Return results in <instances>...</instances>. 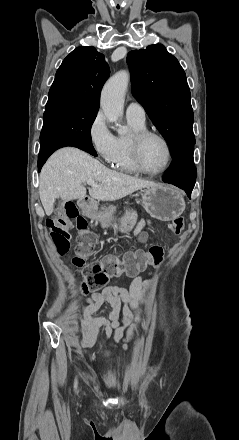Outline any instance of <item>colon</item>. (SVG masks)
I'll use <instances>...</instances> for the list:
<instances>
[{"label": "colon", "instance_id": "obj_1", "mask_svg": "<svg viewBox=\"0 0 239 440\" xmlns=\"http://www.w3.org/2000/svg\"><path fill=\"white\" fill-rule=\"evenodd\" d=\"M74 219L78 230L77 247L72 258V264L76 268L83 267L86 260L91 256L96 237L88 229L86 220L81 217L75 204L68 201L62 208V213L46 222L52 242L59 254H65L70 247L71 233L68 221ZM170 229L174 234H179L184 229V219L175 218ZM164 256V250L160 246H152L147 251L139 250L128 254L124 259L107 257L101 261L87 266L84 272L82 290L101 287L110 279L123 273L134 275L144 270L148 265H159Z\"/></svg>", "mask_w": 239, "mask_h": 440}]
</instances>
